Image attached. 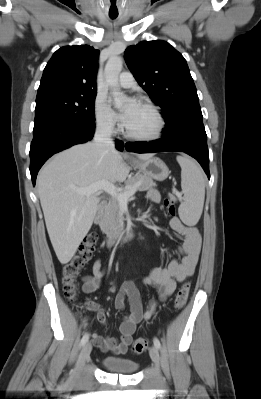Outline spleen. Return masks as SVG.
Listing matches in <instances>:
<instances>
[{"mask_svg":"<svg viewBox=\"0 0 261 399\" xmlns=\"http://www.w3.org/2000/svg\"><path fill=\"white\" fill-rule=\"evenodd\" d=\"M181 167V188L184 201L179 207V217L188 226L199 221L205 199V177L195 161L186 156H177Z\"/></svg>","mask_w":261,"mask_h":399,"instance_id":"3e777b00","label":"spleen"}]
</instances>
